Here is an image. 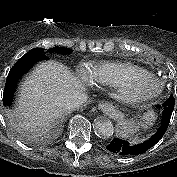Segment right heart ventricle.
I'll return each instance as SVG.
<instances>
[{"label":"right heart ventricle","instance_id":"e07e8e85","mask_svg":"<svg viewBox=\"0 0 177 177\" xmlns=\"http://www.w3.org/2000/svg\"><path fill=\"white\" fill-rule=\"evenodd\" d=\"M96 77L99 83L118 88L127 75L150 74L146 69L131 63L104 62L96 66Z\"/></svg>","mask_w":177,"mask_h":177}]
</instances>
